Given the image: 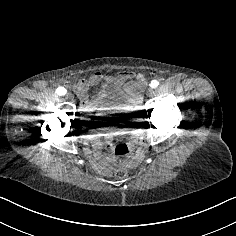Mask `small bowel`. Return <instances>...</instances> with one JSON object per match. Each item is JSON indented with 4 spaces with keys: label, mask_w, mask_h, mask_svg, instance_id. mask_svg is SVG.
Returning a JSON list of instances; mask_svg holds the SVG:
<instances>
[{
    "label": "small bowel",
    "mask_w": 236,
    "mask_h": 236,
    "mask_svg": "<svg viewBox=\"0 0 236 236\" xmlns=\"http://www.w3.org/2000/svg\"><path fill=\"white\" fill-rule=\"evenodd\" d=\"M136 79L135 82L118 88L110 94V97L120 104L116 109L120 111H135L141 101V88L143 77L134 73H121L116 76H105L100 72L93 74L87 79H81L76 84V91L81 101V114L85 120L90 116L106 112L111 106L100 104L98 99H90L88 90L91 86L98 84H121ZM107 95V94H104ZM109 95V94H108ZM133 124L121 127H112L106 131L93 132L84 136L85 142L91 146L87 153L95 167L104 173H108L115 165L134 166L138 164L145 155V142L141 124L135 117ZM116 138H128L124 143L115 144ZM108 150L107 153L103 149Z\"/></svg>",
    "instance_id": "obj_1"
}]
</instances>
